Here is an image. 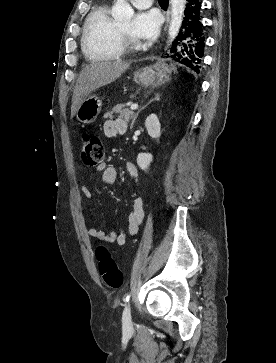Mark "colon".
Instances as JSON below:
<instances>
[{
    "label": "colon",
    "instance_id": "1",
    "mask_svg": "<svg viewBox=\"0 0 276 363\" xmlns=\"http://www.w3.org/2000/svg\"><path fill=\"white\" fill-rule=\"evenodd\" d=\"M82 160L89 167H96L103 163L105 148L96 134L84 133L82 136ZM98 270L107 286L119 288L123 283V275L110 251L105 246L96 249Z\"/></svg>",
    "mask_w": 276,
    "mask_h": 363
}]
</instances>
